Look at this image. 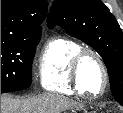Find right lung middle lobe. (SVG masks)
I'll return each instance as SVG.
<instances>
[{
	"instance_id": "1",
	"label": "right lung middle lobe",
	"mask_w": 123,
	"mask_h": 113,
	"mask_svg": "<svg viewBox=\"0 0 123 113\" xmlns=\"http://www.w3.org/2000/svg\"><path fill=\"white\" fill-rule=\"evenodd\" d=\"M40 36L1 41V93L31 85V67Z\"/></svg>"
}]
</instances>
